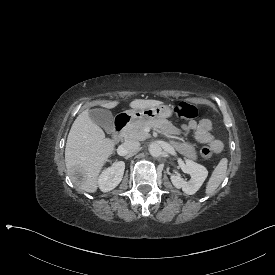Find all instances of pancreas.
Returning <instances> with one entry per match:
<instances>
[{
    "label": "pancreas",
    "instance_id": "obj_1",
    "mask_svg": "<svg viewBox=\"0 0 275 275\" xmlns=\"http://www.w3.org/2000/svg\"><path fill=\"white\" fill-rule=\"evenodd\" d=\"M159 128L161 130V133L164 135L168 134H180L181 130L176 128L170 121L167 119H154L150 121H143V120H137L133 121L130 124H128L123 132L125 133L126 139H135L139 141H143L147 138H150V134L145 132V128ZM174 148L182 155L192 159L196 160V152L195 148L187 143H174Z\"/></svg>",
    "mask_w": 275,
    "mask_h": 275
}]
</instances>
